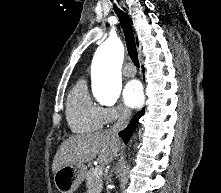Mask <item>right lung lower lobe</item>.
Wrapping results in <instances>:
<instances>
[{"mask_svg":"<svg viewBox=\"0 0 221 193\" xmlns=\"http://www.w3.org/2000/svg\"><path fill=\"white\" fill-rule=\"evenodd\" d=\"M143 72H144V68H143ZM144 111H145V109L143 108L141 111L137 112L135 117L133 118V120L127 126V128H125L124 130L119 132V136L124 140L125 143H127L130 136L132 135V133L136 129V127L138 125V121H139L140 117L144 114Z\"/></svg>","mask_w":221,"mask_h":193,"instance_id":"98d812e1","label":"right lung lower lobe"}]
</instances>
